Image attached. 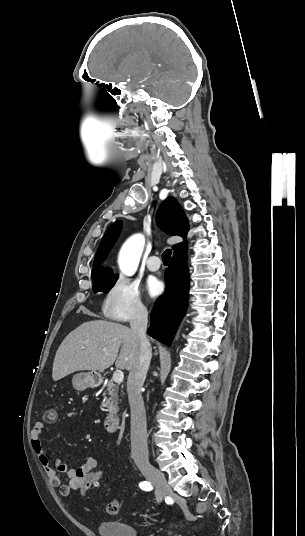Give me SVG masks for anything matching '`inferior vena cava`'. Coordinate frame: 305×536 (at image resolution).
I'll return each mask as SVG.
<instances>
[{"label": "inferior vena cava", "instance_id": "1", "mask_svg": "<svg viewBox=\"0 0 305 536\" xmlns=\"http://www.w3.org/2000/svg\"><path fill=\"white\" fill-rule=\"evenodd\" d=\"M148 312L144 306H136L130 318V328L140 344L139 362L130 370L127 394L131 410V454L134 460H148L146 412L141 396L148 372L152 350L146 338Z\"/></svg>", "mask_w": 305, "mask_h": 536}]
</instances>
